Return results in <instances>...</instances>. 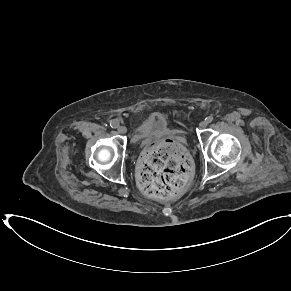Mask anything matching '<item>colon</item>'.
Listing matches in <instances>:
<instances>
[{
	"instance_id": "colon-1",
	"label": "colon",
	"mask_w": 291,
	"mask_h": 291,
	"mask_svg": "<svg viewBox=\"0 0 291 291\" xmlns=\"http://www.w3.org/2000/svg\"><path fill=\"white\" fill-rule=\"evenodd\" d=\"M190 165L174 141L151 144L144 152L138 173L141 189L152 197L167 198L182 192L189 184Z\"/></svg>"
}]
</instances>
